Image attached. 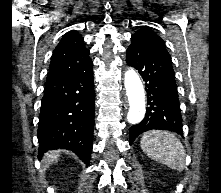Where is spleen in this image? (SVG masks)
<instances>
[{
    "label": "spleen",
    "mask_w": 221,
    "mask_h": 193,
    "mask_svg": "<svg viewBox=\"0 0 221 193\" xmlns=\"http://www.w3.org/2000/svg\"><path fill=\"white\" fill-rule=\"evenodd\" d=\"M143 152L172 170L185 168V150L180 140L172 132L150 130L140 140Z\"/></svg>",
    "instance_id": "1"
}]
</instances>
